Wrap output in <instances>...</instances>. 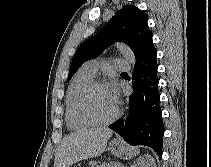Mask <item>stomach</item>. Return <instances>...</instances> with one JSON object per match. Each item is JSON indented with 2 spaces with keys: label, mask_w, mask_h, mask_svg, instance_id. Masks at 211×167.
I'll use <instances>...</instances> for the list:
<instances>
[{
  "label": "stomach",
  "mask_w": 211,
  "mask_h": 167,
  "mask_svg": "<svg viewBox=\"0 0 211 167\" xmlns=\"http://www.w3.org/2000/svg\"><path fill=\"white\" fill-rule=\"evenodd\" d=\"M110 152L121 159H127L135 156L138 153L137 149L128 147L123 141L120 139H114L109 143ZM78 167V166H74Z\"/></svg>",
  "instance_id": "stomach-1"
}]
</instances>
